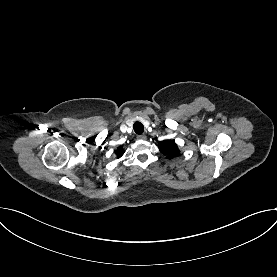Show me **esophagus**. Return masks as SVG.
<instances>
[{"instance_id":"obj_1","label":"esophagus","mask_w":277,"mask_h":277,"mask_svg":"<svg viewBox=\"0 0 277 277\" xmlns=\"http://www.w3.org/2000/svg\"><path fill=\"white\" fill-rule=\"evenodd\" d=\"M137 139L138 140H146V135H144V134L138 135Z\"/></svg>"}]
</instances>
